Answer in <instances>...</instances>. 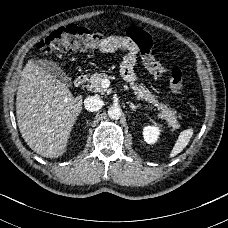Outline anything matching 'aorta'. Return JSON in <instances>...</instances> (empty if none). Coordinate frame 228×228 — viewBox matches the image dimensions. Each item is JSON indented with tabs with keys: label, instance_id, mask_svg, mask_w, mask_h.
<instances>
[{
	"label": "aorta",
	"instance_id": "obj_1",
	"mask_svg": "<svg viewBox=\"0 0 228 228\" xmlns=\"http://www.w3.org/2000/svg\"><path fill=\"white\" fill-rule=\"evenodd\" d=\"M121 115H122V110L118 106H111L108 109V116L111 119H119L121 117Z\"/></svg>",
	"mask_w": 228,
	"mask_h": 228
}]
</instances>
